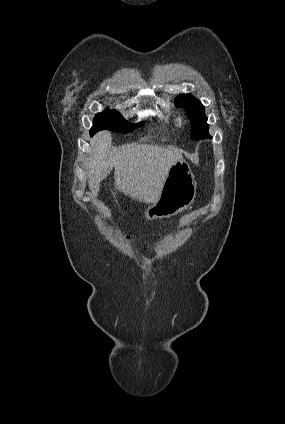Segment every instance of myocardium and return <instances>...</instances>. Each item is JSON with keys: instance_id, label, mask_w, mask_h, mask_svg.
Returning a JSON list of instances; mask_svg holds the SVG:
<instances>
[{"instance_id": "obj_1", "label": "myocardium", "mask_w": 285, "mask_h": 424, "mask_svg": "<svg viewBox=\"0 0 285 424\" xmlns=\"http://www.w3.org/2000/svg\"><path fill=\"white\" fill-rule=\"evenodd\" d=\"M177 122H178V125H182L184 123L183 117H179Z\"/></svg>"}]
</instances>
